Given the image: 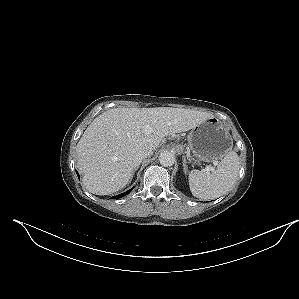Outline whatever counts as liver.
Segmentation results:
<instances>
[{
  "label": "liver",
  "mask_w": 299,
  "mask_h": 299,
  "mask_svg": "<svg viewBox=\"0 0 299 299\" xmlns=\"http://www.w3.org/2000/svg\"><path fill=\"white\" fill-rule=\"evenodd\" d=\"M213 115L171 107L114 108L103 112L87 127L77 144V167L85 188L109 195L131 180L133 157L143 149L155 150L161 140L202 124ZM149 125L153 132L146 134Z\"/></svg>",
  "instance_id": "1"
}]
</instances>
